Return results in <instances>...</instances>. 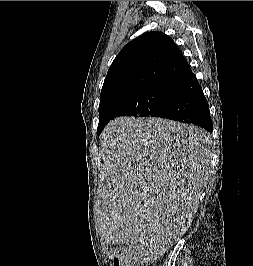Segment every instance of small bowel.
<instances>
[{
    "label": "small bowel",
    "mask_w": 253,
    "mask_h": 266,
    "mask_svg": "<svg viewBox=\"0 0 253 266\" xmlns=\"http://www.w3.org/2000/svg\"><path fill=\"white\" fill-rule=\"evenodd\" d=\"M131 253V252H130ZM132 254V256L134 257V259H135V256L133 255V253H131Z\"/></svg>",
    "instance_id": "small-bowel-1"
}]
</instances>
